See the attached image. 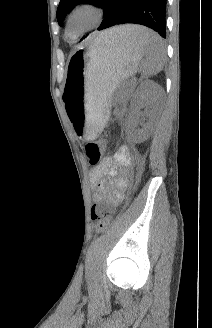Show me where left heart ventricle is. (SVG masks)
Masks as SVG:
<instances>
[{"mask_svg": "<svg viewBox=\"0 0 212 328\" xmlns=\"http://www.w3.org/2000/svg\"><path fill=\"white\" fill-rule=\"evenodd\" d=\"M92 21V15L89 13H80L76 16L73 24V28L75 30H80L87 25H89Z\"/></svg>", "mask_w": 212, "mask_h": 328, "instance_id": "b2bd125f", "label": "left heart ventricle"}]
</instances>
